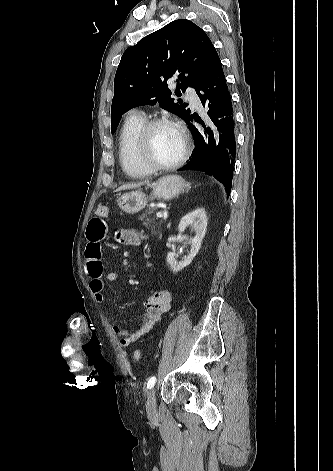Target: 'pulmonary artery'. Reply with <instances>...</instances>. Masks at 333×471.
Segmentation results:
<instances>
[{"label":"pulmonary artery","instance_id":"pulmonary-artery-1","mask_svg":"<svg viewBox=\"0 0 333 471\" xmlns=\"http://www.w3.org/2000/svg\"><path fill=\"white\" fill-rule=\"evenodd\" d=\"M186 95H187V98L189 99V101L192 103L193 106H195V107H200L201 106L199 98L197 97V95L192 90H188Z\"/></svg>","mask_w":333,"mask_h":471}]
</instances>
